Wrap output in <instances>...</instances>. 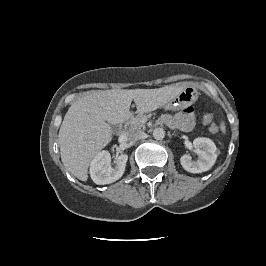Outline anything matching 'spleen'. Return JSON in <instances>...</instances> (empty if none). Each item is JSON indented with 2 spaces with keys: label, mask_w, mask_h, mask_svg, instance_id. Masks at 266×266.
<instances>
[{
  "label": "spleen",
  "mask_w": 266,
  "mask_h": 266,
  "mask_svg": "<svg viewBox=\"0 0 266 266\" xmlns=\"http://www.w3.org/2000/svg\"><path fill=\"white\" fill-rule=\"evenodd\" d=\"M220 129H221L222 132H225L226 131L225 124L224 123H221Z\"/></svg>",
  "instance_id": "spleen-1"
}]
</instances>
